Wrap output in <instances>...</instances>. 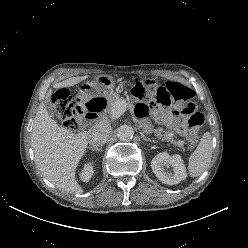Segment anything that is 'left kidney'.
<instances>
[{"label": "left kidney", "mask_w": 248, "mask_h": 248, "mask_svg": "<svg viewBox=\"0 0 248 248\" xmlns=\"http://www.w3.org/2000/svg\"><path fill=\"white\" fill-rule=\"evenodd\" d=\"M172 167V172L164 167ZM151 168L156 177L167 185H175L187 177L184 162L180 155L170 156L166 152L159 153L151 161Z\"/></svg>", "instance_id": "obj_1"}]
</instances>
